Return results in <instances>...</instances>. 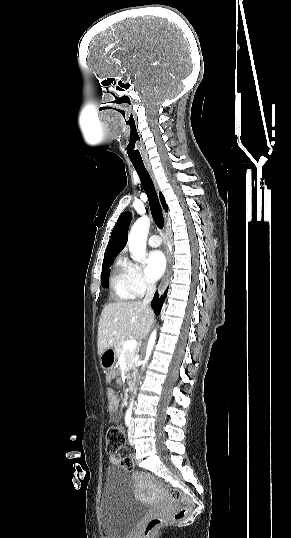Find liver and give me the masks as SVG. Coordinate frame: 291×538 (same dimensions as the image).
<instances>
[{
  "instance_id": "obj_1",
  "label": "liver",
  "mask_w": 291,
  "mask_h": 538,
  "mask_svg": "<svg viewBox=\"0 0 291 538\" xmlns=\"http://www.w3.org/2000/svg\"><path fill=\"white\" fill-rule=\"evenodd\" d=\"M154 321V312L141 301H119L106 304L98 325V354L132 336L142 340Z\"/></svg>"
}]
</instances>
